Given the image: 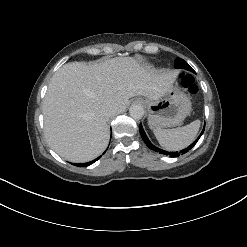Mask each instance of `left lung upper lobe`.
<instances>
[{"label": "left lung upper lobe", "mask_w": 247, "mask_h": 247, "mask_svg": "<svg viewBox=\"0 0 247 247\" xmlns=\"http://www.w3.org/2000/svg\"><path fill=\"white\" fill-rule=\"evenodd\" d=\"M174 67H175L176 69H185V70H188V71H191V72L194 71V70L188 65V63H187L186 61H184L183 59H181V58H176V59H175Z\"/></svg>", "instance_id": "obj_1"}]
</instances>
